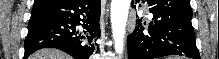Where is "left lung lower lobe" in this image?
<instances>
[{
    "instance_id": "obj_1",
    "label": "left lung lower lobe",
    "mask_w": 219,
    "mask_h": 59,
    "mask_svg": "<svg viewBox=\"0 0 219 59\" xmlns=\"http://www.w3.org/2000/svg\"><path fill=\"white\" fill-rule=\"evenodd\" d=\"M147 3L153 14L152 21L147 29L142 18L137 20V27L128 36V59H156L168 55L200 59L190 1L148 0ZM131 7L136 8V5L133 3Z\"/></svg>"
}]
</instances>
